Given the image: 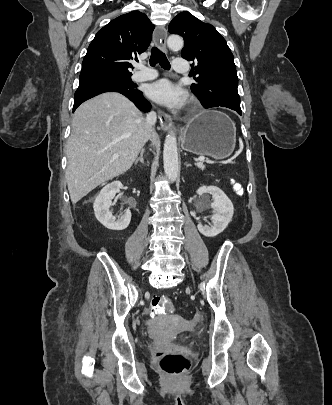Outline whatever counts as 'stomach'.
<instances>
[{"instance_id": "0dacf381", "label": "stomach", "mask_w": 332, "mask_h": 405, "mask_svg": "<svg viewBox=\"0 0 332 405\" xmlns=\"http://www.w3.org/2000/svg\"><path fill=\"white\" fill-rule=\"evenodd\" d=\"M235 143V126L227 115L219 111H203L183 129L182 147L194 154L225 159L233 153Z\"/></svg>"}]
</instances>
